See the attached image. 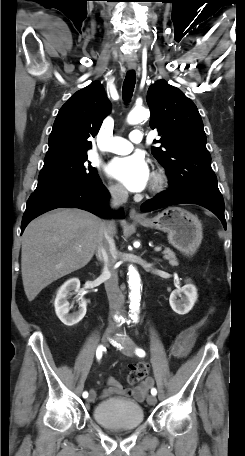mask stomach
<instances>
[{"label": "stomach", "instance_id": "0dacf381", "mask_svg": "<svg viewBox=\"0 0 245 456\" xmlns=\"http://www.w3.org/2000/svg\"><path fill=\"white\" fill-rule=\"evenodd\" d=\"M137 223L166 232L169 243L186 255H193L203 238L198 217L179 207L164 209L155 217L138 220Z\"/></svg>", "mask_w": 245, "mask_h": 456}]
</instances>
